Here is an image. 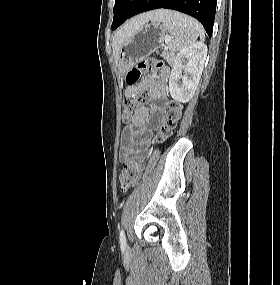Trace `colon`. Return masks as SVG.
Here are the masks:
<instances>
[{
    "label": "colon",
    "instance_id": "1",
    "mask_svg": "<svg viewBox=\"0 0 280 285\" xmlns=\"http://www.w3.org/2000/svg\"><path fill=\"white\" fill-rule=\"evenodd\" d=\"M162 62L152 57H148L140 61L137 66L132 68L127 76L126 82L129 86H136L142 78L145 71H157L161 69ZM146 90H136L127 100H125L122 107V122H130L139 108L146 102L148 98ZM182 107L176 101H170L168 108L161 118L160 124L157 128L155 140L162 141L170 136L175 129L180 117ZM142 174V165L136 160L129 161L121 171L119 181L123 190L133 188Z\"/></svg>",
    "mask_w": 280,
    "mask_h": 285
}]
</instances>
